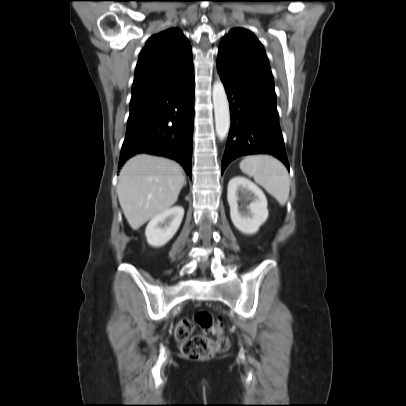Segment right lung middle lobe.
<instances>
[{
  "mask_svg": "<svg viewBox=\"0 0 406 406\" xmlns=\"http://www.w3.org/2000/svg\"><path fill=\"white\" fill-rule=\"evenodd\" d=\"M136 117H137L136 112L130 107V115H129V118H128V122L133 121Z\"/></svg>",
  "mask_w": 406,
  "mask_h": 406,
  "instance_id": "1",
  "label": "right lung middle lobe"
}]
</instances>
